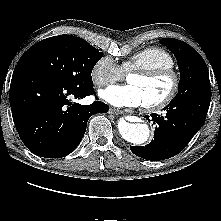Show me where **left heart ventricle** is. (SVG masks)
Instances as JSON below:
<instances>
[{
	"instance_id": "1",
	"label": "left heart ventricle",
	"mask_w": 221,
	"mask_h": 221,
	"mask_svg": "<svg viewBox=\"0 0 221 221\" xmlns=\"http://www.w3.org/2000/svg\"><path fill=\"white\" fill-rule=\"evenodd\" d=\"M128 83L135 85L142 94L144 104L156 102L164 98L171 89L172 81L169 77L144 78L138 75H129Z\"/></svg>"
}]
</instances>
